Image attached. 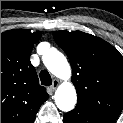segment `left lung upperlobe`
Listing matches in <instances>:
<instances>
[{"label": "left lung upper lobe", "instance_id": "5c2ea615", "mask_svg": "<svg viewBox=\"0 0 123 123\" xmlns=\"http://www.w3.org/2000/svg\"><path fill=\"white\" fill-rule=\"evenodd\" d=\"M71 63L77 104L118 116L123 108V57L106 41L81 31H54Z\"/></svg>", "mask_w": 123, "mask_h": 123}]
</instances>
